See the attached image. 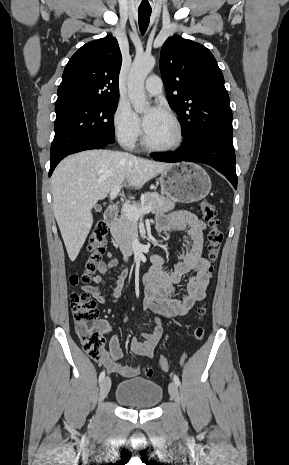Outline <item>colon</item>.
<instances>
[{
    "mask_svg": "<svg viewBox=\"0 0 289 465\" xmlns=\"http://www.w3.org/2000/svg\"><path fill=\"white\" fill-rule=\"evenodd\" d=\"M201 213L204 221L208 226L207 233V252L208 260L211 263L209 272L213 271V265L219 256L223 234L219 229V219L214 204L205 200L201 204ZM108 229L103 222H98L89 236L88 243V261L85 270L81 273H75L70 276L72 287L79 285L85 286L90 282L91 275L95 271L97 264L100 262L102 254L107 244ZM70 307L75 323L76 335L84 351L96 361H99L104 353L105 341L101 334V328L98 320V310L95 301L87 292L73 291L70 295ZM199 319H203L206 314V308L200 306L197 310ZM194 337L201 340L205 331L202 327H196L193 331ZM159 366L162 370H167L169 361L165 356L159 358ZM144 373L147 376L153 375L152 368H145Z\"/></svg>",
    "mask_w": 289,
    "mask_h": 465,
    "instance_id": "1",
    "label": "colon"
}]
</instances>
